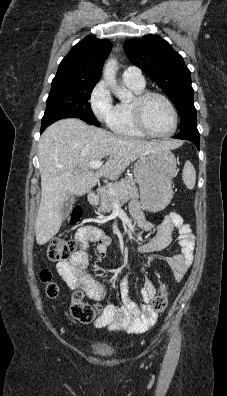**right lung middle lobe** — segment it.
<instances>
[{"label":"right lung middle lobe","mask_w":227,"mask_h":396,"mask_svg":"<svg viewBox=\"0 0 227 396\" xmlns=\"http://www.w3.org/2000/svg\"><path fill=\"white\" fill-rule=\"evenodd\" d=\"M96 83L97 80H82L56 75L47 98L44 117L69 113L88 124L100 126L89 103L91 92Z\"/></svg>","instance_id":"dd1d6c3e"}]
</instances>
